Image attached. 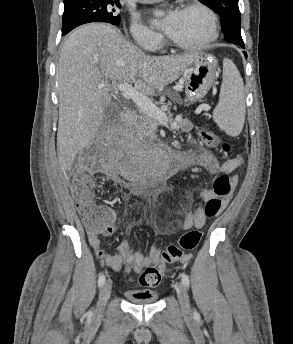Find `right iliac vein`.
<instances>
[{
  "instance_id": "obj_1",
  "label": "right iliac vein",
  "mask_w": 293,
  "mask_h": 344,
  "mask_svg": "<svg viewBox=\"0 0 293 344\" xmlns=\"http://www.w3.org/2000/svg\"><path fill=\"white\" fill-rule=\"evenodd\" d=\"M112 289V283L111 281H107L103 284L101 290H100V297H99V303L96 310V317L100 318L103 315L105 305L110 297Z\"/></svg>"
}]
</instances>
